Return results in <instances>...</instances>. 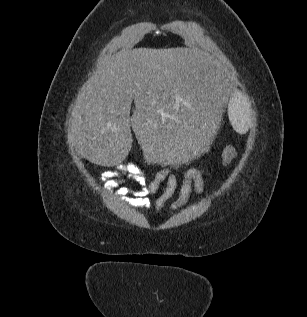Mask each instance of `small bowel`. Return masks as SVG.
Wrapping results in <instances>:
<instances>
[{"label": "small bowel", "mask_w": 307, "mask_h": 317, "mask_svg": "<svg viewBox=\"0 0 307 317\" xmlns=\"http://www.w3.org/2000/svg\"><path fill=\"white\" fill-rule=\"evenodd\" d=\"M117 168L140 186V190L136 193V198L126 200L143 209H162L177 190L178 180L170 169H160L155 177L149 181L146 177L145 170L135 163L125 162L118 165ZM114 175L115 174L112 171H105L101 175V183L106 189L111 188L110 180ZM162 183H165L162 194L152 202L149 199V196L154 195L159 190ZM203 187L204 182L201 172L193 168L187 169L183 175L178 198L171 203L170 209L177 210L188 201L192 191L200 194L203 191Z\"/></svg>", "instance_id": "1"}]
</instances>
